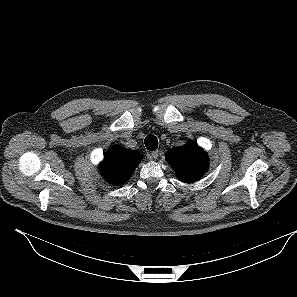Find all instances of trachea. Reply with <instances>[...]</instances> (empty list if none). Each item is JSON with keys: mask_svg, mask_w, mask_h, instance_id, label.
<instances>
[{"mask_svg": "<svg viewBox=\"0 0 297 297\" xmlns=\"http://www.w3.org/2000/svg\"><path fill=\"white\" fill-rule=\"evenodd\" d=\"M147 150L154 151L158 148V139L156 136L148 135L144 140Z\"/></svg>", "mask_w": 297, "mask_h": 297, "instance_id": "3493384b", "label": "trachea"}]
</instances>
